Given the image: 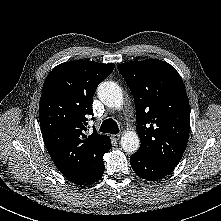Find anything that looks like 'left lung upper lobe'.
<instances>
[{
  "label": "left lung upper lobe",
  "instance_id": "1",
  "mask_svg": "<svg viewBox=\"0 0 221 221\" xmlns=\"http://www.w3.org/2000/svg\"><path fill=\"white\" fill-rule=\"evenodd\" d=\"M135 102L136 153L154 160L178 163L190 130V109L183 81L174 67L158 59L130 61L117 66Z\"/></svg>",
  "mask_w": 221,
  "mask_h": 221
}]
</instances>
